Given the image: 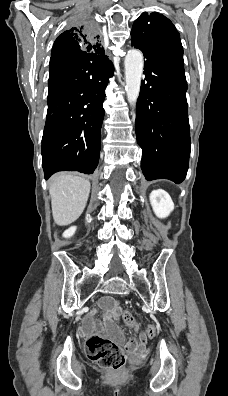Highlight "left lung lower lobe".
<instances>
[{
	"label": "left lung lower lobe",
	"instance_id": "left-lung-lower-lobe-1",
	"mask_svg": "<svg viewBox=\"0 0 228 396\" xmlns=\"http://www.w3.org/2000/svg\"><path fill=\"white\" fill-rule=\"evenodd\" d=\"M132 46L145 58L135 122L143 174L148 181L179 184L186 177L191 146L183 65L151 47Z\"/></svg>",
	"mask_w": 228,
	"mask_h": 396
}]
</instances>
